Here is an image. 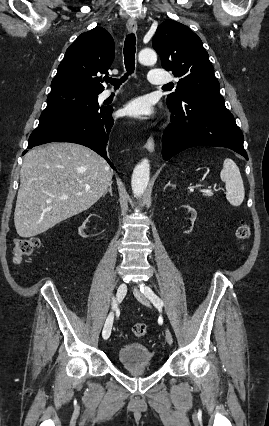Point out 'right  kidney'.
<instances>
[{"instance_id":"1","label":"right kidney","mask_w":269,"mask_h":426,"mask_svg":"<svg viewBox=\"0 0 269 426\" xmlns=\"http://www.w3.org/2000/svg\"><path fill=\"white\" fill-rule=\"evenodd\" d=\"M95 216H96V213L92 212L89 217H85V222H83L82 226H80L79 229H78L80 236L85 237V238H94V233H88L89 231L86 229L84 231L85 232V234H84L83 230L85 229V226H86V228H89V225H86V222L92 221L93 217H95Z\"/></svg>"}]
</instances>
